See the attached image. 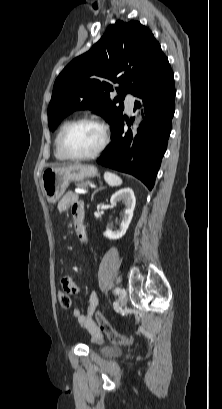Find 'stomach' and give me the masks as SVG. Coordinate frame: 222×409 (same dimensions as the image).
Masks as SVG:
<instances>
[{"instance_id": "obj_1", "label": "stomach", "mask_w": 222, "mask_h": 409, "mask_svg": "<svg viewBox=\"0 0 222 409\" xmlns=\"http://www.w3.org/2000/svg\"><path fill=\"white\" fill-rule=\"evenodd\" d=\"M96 175L97 168L95 166L81 163L47 168L41 176L42 191L49 203H55L64 194L70 182H82L84 179Z\"/></svg>"}]
</instances>
